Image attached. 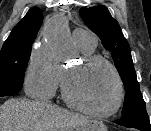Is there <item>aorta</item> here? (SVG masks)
Instances as JSON below:
<instances>
[{"mask_svg": "<svg viewBox=\"0 0 151 131\" xmlns=\"http://www.w3.org/2000/svg\"><path fill=\"white\" fill-rule=\"evenodd\" d=\"M46 42L54 49L55 58L68 61L74 56V45L67 32L64 17L54 18L45 32Z\"/></svg>", "mask_w": 151, "mask_h": 131, "instance_id": "aorta-1", "label": "aorta"}]
</instances>
